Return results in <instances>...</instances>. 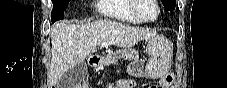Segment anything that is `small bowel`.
I'll return each instance as SVG.
<instances>
[{
  "instance_id": "small-bowel-1",
  "label": "small bowel",
  "mask_w": 227,
  "mask_h": 88,
  "mask_svg": "<svg viewBox=\"0 0 227 88\" xmlns=\"http://www.w3.org/2000/svg\"><path fill=\"white\" fill-rule=\"evenodd\" d=\"M134 82L132 80H122L117 85V88H131L133 87ZM160 88H172L173 87V77L171 75H165L160 80ZM82 88H88L87 86H83Z\"/></svg>"
}]
</instances>
